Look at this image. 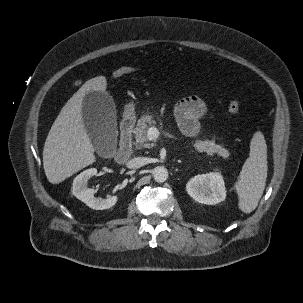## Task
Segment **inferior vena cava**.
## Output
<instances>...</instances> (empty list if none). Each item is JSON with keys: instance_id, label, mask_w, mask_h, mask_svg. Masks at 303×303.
Masks as SVG:
<instances>
[{"instance_id": "1", "label": "inferior vena cava", "mask_w": 303, "mask_h": 303, "mask_svg": "<svg viewBox=\"0 0 303 303\" xmlns=\"http://www.w3.org/2000/svg\"><path fill=\"white\" fill-rule=\"evenodd\" d=\"M144 165H145V158L143 157H136L130 159L126 164L127 168L129 169H138Z\"/></svg>"}]
</instances>
